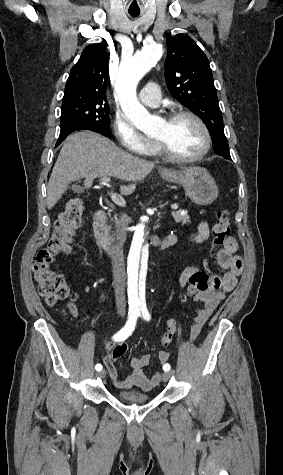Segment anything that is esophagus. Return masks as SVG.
<instances>
[{"instance_id": "esophagus-1", "label": "esophagus", "mask_w": 283, "mask_h": 475, "mask_svg": "<svg viewBox=\"0 0 283 475\" xmlns=\"http://www.w3.org/2000/svg\"><path fill=\"white\" fill-rule=\"evenodd\" d=\"M162 171H167L166 169H162Z\"/></svg>"}]
</instances>
